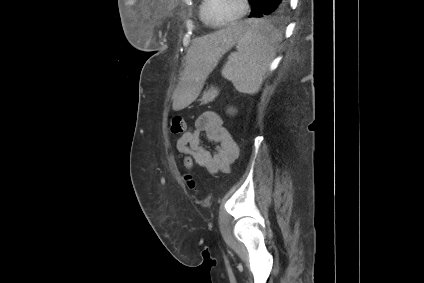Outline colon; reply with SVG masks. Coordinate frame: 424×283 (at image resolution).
Returning a JSON list of instances; mask_svg holds the SVG:
<instances>
[{"mask_svg":"<svg viewBox=\"0 0 424 283\" xmlns=\"http://www.w3.org/2000/svg\"><path fill=\"white\" fill-rule=\"evenodd\" d=\"M170 130L173 134H181L186 131V122L183 117L175 115L170 120ZM184 167L187 171L185 181L191 190H196V182L194 181L190 171L193 168V163L189 158H184Z\"/></svg>","mask_w":424,"mask_h":283,"instance_id":"obj_1","label":"colon"}]
</instances>
